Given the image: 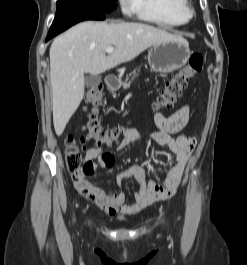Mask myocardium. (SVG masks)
<instances>
[{
  "instance_id": "1",
  "label": "myocardium",
  "mask_w": 247,
  "mask_h": 265,
  "mask_svg": "<svg viewBox=\"0 0 247 265\" xmlns=\"http://www.w3.org/2000/svg\"><path fill=\"white\" fill-rule=\"evenodd\" d=\"M188 13H189V16H191L193 14V11L189 9Z\"/></svg>"
}]
</instances>
